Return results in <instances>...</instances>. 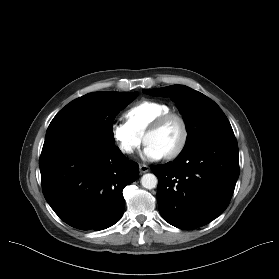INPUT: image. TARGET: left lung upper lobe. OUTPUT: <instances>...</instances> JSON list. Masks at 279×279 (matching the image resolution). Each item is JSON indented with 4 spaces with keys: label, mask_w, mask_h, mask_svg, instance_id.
Segmentation results:
<instances>
[{
    "label": "left lung upper lobe",
    "mask_w": 279,
    "mask_h": 279,
    "mask_svg": "<svg viewBox=\"0 0 279 279\" xmlns=\"http://www.w3.org/2000/svg\"><path fill=\"white\" fill-rule=\"evenodd\" d=\"M152 96L171 97L180 110L188 132L182 152L209 139L233 138L232 127L220 107L204 94L184 85L143 90Z\"/></svg>",
    "instance_id": "left-lung-upper-lobe-1"
}]
</instances>
